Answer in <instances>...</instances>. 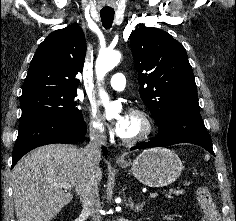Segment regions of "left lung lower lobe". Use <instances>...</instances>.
<instances>
[{
  "instance_id": "0a47b994",
  "label": "left lung lower lobe",
  "mask_w": 236,
  "mask_h": 221,
  "mask_svg": "<svg viewBox=\"0 0 236 221\" xmlns=\"http://www.w3.org/2000/svg\"><path fill=\"white\" fill-rule=\"evenodd\" d=\"M155 138L143 145L132 148L163 147L177 143H192L205 148L215 156L211 137L208 134L199 112L179 111L168 115L159 125Z\"/></svg>"
}]
</instances>
